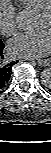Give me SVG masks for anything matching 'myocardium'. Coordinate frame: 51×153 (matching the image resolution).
Listing matches in <instances>:
<instances>
[{"instance_id":"1","label":"myocardium","mask_w":51,"mask_h":153,"mask_svg":"<svg viewBox=\"0 0 51 153\" xmlns=\"http://www.w3.org/2000/svg\"><path fill=\"white\" fill-rule=\"evenodd\" d=\"M40 14L51 18V6H49L47 9L42 10Z\"/></svg>"}]
</instances>
